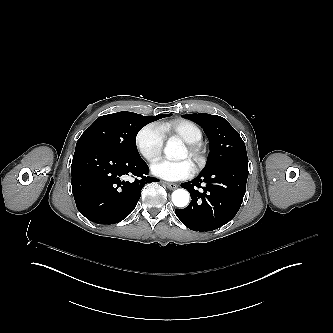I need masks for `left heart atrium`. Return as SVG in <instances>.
<instances>
[{"label": "left heart atrium", "mask_w": 333, "mask_h": 333, "mask_svg": "<svg viewBox=\"0 0 333 333\" xmlns=\"http://www.w3.org/2000/svg\"><path fill=\"white\" fill-rule=\"evenodd\" d=\"M153 174L169 181H181L191 178L195 168L191 161H161L152 168Z\"/></svg>", "instance_id": "obj_1"}]
</instances>
